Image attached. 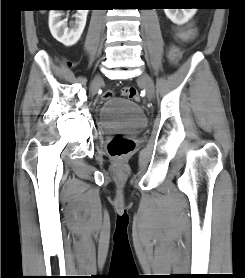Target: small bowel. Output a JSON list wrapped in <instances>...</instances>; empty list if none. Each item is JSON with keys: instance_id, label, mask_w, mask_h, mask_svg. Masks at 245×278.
I'll list each match as a JSON object with an SVG mask.
<instances>
[{"instance_id": "c3829d8e", "label": "small bowel", "mask_w": 245, "mask_h": 278, "mask_svg": "<svg viewBox=\"0 0 245 278\" xmlns=\"http://www.w3.org/2000/svg\"><path fill=\"white\" fill-rule=\"evenodd\" d=\"M179 37L184 40H190L196 37L197 29L195 27H191L185 31H178L177 32ZM181 53L178 49L173 48L170 53V58L172 62H177L180 59Z\"/></svg>"}]
</instances>
